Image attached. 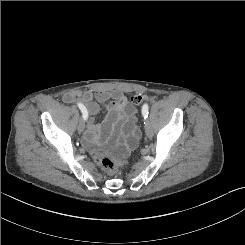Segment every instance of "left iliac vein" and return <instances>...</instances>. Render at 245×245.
I'll use <instances>...</instances> for the list:
<instances>
[{
	"instance_id": "1",
	"label": "left iliac vein",
	"mask_w": 245,
	"mask_h": 245,
	"mask_svg": "<svg viewBox=\"0 0 245 245\" xmlns=\"http://www.w3.org/2000/svg\"><path fill=\"white\" fill-rule=\"evenodd\" d=\"M145 133L148 138L153 136V129L148 119H145Z\"/></svg>"
}]
</instances>
